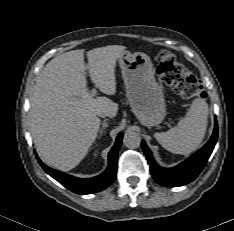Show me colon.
I'll use <instances>...</instances> for the list:
<instances>
[{
    "label": "colon",
    "mask_w": 234,
    "mask_h": 231,
    "mask_svg": "<svg viewBox=\"0 0 234 231\" xmlns=\"http://www.w3.org/2000/svg\"><path fill=\"white\" fill-rule=\"evenodd\" d=\"M157 76L185 99L206 97L197 76L177 61L170 52H161L155 66Z\"/></svg>",
    "instance_id": "obj_1"
}]
</instances>
